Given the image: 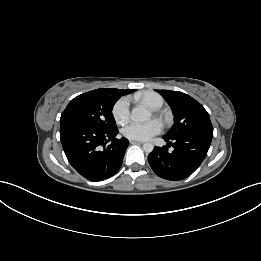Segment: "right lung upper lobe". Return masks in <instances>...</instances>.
Returning a JSON list of instances; mask_svg holds the SVG:
<instances>
[{
  "label": "right lung upper lobe",
  "mask_w": 261,
  "mask_h": 261,
  "mask_svg": "<svg viewBox=\"0 0 261 261\" xmlns=\"http://www.w3.org/2000/svg\"><path fill=\"white\" fill-rule=\"evenodd\" d=\"M118 90H119V92L122 93L123 95L128 94V93L134 91V89H126V90L118 89Z\"/></svg>",
  "instance_id": "1"
}]
</instances>
